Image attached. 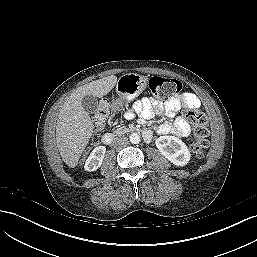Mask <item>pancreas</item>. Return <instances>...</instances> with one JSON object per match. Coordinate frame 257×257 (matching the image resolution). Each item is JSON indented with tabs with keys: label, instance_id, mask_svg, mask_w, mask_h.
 <instances>
[{
	"label": "pancreas",
	"instance_id": "obj_1",
	"mask_svg": "<svg viewBox=\"0 0 257 257\" xmlns=\"http://www.w3.org/2000/svg\"><path fill=\"white\" fill-rule=\"evenodd\" d=\"M130 131L129 128L123 127V128H117L114 130V134L115 135H121V134H125L128 133Z\"/></svg>",
	"mask_w": 257,
	"mask_h": 257
}]
</instances>
